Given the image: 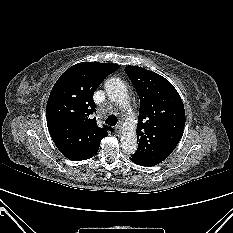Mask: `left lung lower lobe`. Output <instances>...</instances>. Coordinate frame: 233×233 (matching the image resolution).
<instances>
[{"mask_svg": "<svg viewBox=\"0 0 233 233\" xmlns=\"http://www.w3.org/2000/svg\"><path fill=\"white\" fill-rule=\"evenodd\" d=\"M130 160L138 165H141V166H145L144 164H142L141 162H138L136 161L135 159H133L132 157H130Z\"/></svg>", "mask_w": 233, "mask_h": 233, "instance_id": "0a47b994", "label": "left lung lower lobe"}]
</instances>
